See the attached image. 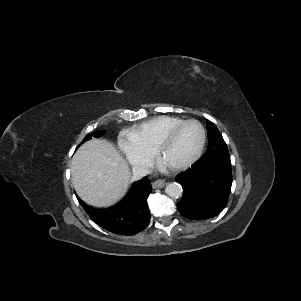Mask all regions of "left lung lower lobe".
<instances>
[{"label": "left lung lower lobe", "mask_w": 301, "mask_h": 301, "mask_svg": "<svg viewBox=\"0 0 301 301\" xmlns=\"http://www.w3.org/2000/svg\"><path fill=\"white\" fill-rule=\"evenodd\" d=\"M182 185L179 212L193 220H205L218 215L226 206L232 186L231 161L213 157L199 159L187 171L176 177Z\"/></svg>", "instance_id": "obj_1"}]
</instances>
